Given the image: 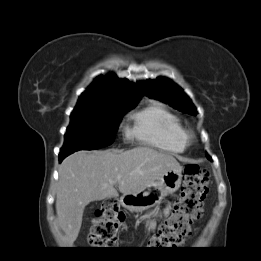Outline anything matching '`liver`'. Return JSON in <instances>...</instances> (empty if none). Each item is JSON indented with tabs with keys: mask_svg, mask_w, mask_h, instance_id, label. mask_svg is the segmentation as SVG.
Masks as SVG:
<instances>
[{
	"mask_svg": "<svg viewBox=\"0 0 261 261\" xmlns=\"http://www.w3.org/2000/svg\"><path fill=\"white\" fill-rule=\"evenodd\" d=\"M180 164L170 154L148 147L127 151H78L59 167L56 213L64 243L72 246L78 237L84 208L91 201L133 194L154 183Z\"/></svg>",
	"mask_w": 261,
	"mask_h": 261,
	"instance_id": "liver-1",
	"label": "liver"
}]
</instances>
